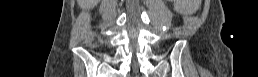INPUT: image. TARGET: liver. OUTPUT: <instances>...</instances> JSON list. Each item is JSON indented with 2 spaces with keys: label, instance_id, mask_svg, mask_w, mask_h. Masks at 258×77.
<instances>
[{
  "label": "liver",
  "instance_id": "1",
  "mask_svg": "<svg viewBox=\"0 0 258 77\" xmlns=\"http://www.w3.org/2000/svg\"><path fill=\"white\" fill-rule=\"evenodd\" d=\"M77 2L81 7H86L91 4V0H77Z\"/></svg>",
  "mask_w": 258,
  "mask_h": 77
}]
</instances>
